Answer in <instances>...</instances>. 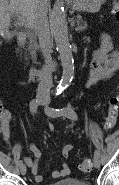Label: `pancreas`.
<instances>
[{"instance_id":"cf45deb5","label":"pancreas","mask_w":119,"mask_h":185,"mask_svg":"<svg viewBox=\"0 0 119 185\" xmlns=\"http://www.w3.org/2000/svg\"><path fill=\"white\" fill-rule=\"evenodd\" d=\"M77 22H78V26L76 27L77 31H82L87 28L86 22H83L82 18L80 16L78 17ZM37 48H38V45H37L36 40L33 37H31L30 44H29V50H30V54H31L33 61H35V59H36Z\"/></svg>"}]
</instances>
